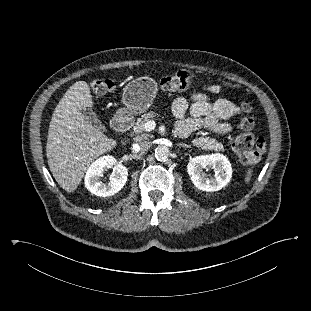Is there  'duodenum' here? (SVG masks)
Instances as JSON below:
<instances>
[{"instance_id":"1","label":"duodenum","mask_w":311,"mask_h":311,"mask_svg":"<svg viewBox=\"0 0 311 311\" xmlns=\"http://www.w3.org/2000/svg\"><path fill=\"white\" fill-rule=\"evenodd\" d=\"M132 126V119L127 114H119L112 121V128L117 132H127ZM182 137L181 133L176 131Z\"/></svg>"}]
</instances>
